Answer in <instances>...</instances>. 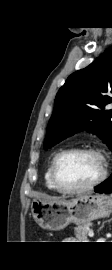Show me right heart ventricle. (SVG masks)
<instances>
[{"mask_svg":"<svg viewBox=\"0 0 112 270\" xmlns=\"http://www.w3.org/2000/svg\"><path fill=\"white\" fill-rule=\"evenodd\" d=\"M53 158L48 163V165L46 167V170L44 172V181H45V185H46V187H47L48 190H50V191H57V189L52 184V181H51V178H50V169H51V164H52Z\"/></svg>","mask_w":112,"mask_h":270,"instance_id":"right-heart-ventricle-1","label":"right heart ventricle"}]
</instances>
